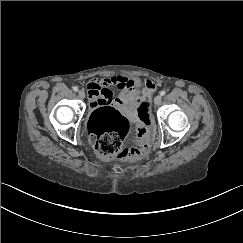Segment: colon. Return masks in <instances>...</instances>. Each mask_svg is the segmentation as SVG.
Listing matches in <instances>:
<instances>
[{
    "instance_id": "colon-1",
    "label": "colon",
    "mask_w": 243,
    "mask_h": 243,
    "mask_svg": "<svg viewBox=\"0 0 243 243\" xmlns=\"http://www.w3.org/2000/svg\"><path fill=\"white\" fill-rule=\"evenodd\" d=\"M137 115L142 122L136 139L124 146L130 135L129 121L114 107H97L90 115L88 129L91 142L96 151L104 157H116L122 160H136L148 150L153 133L150 98L143 97Z\"/></svg>"
}]
</instances>
